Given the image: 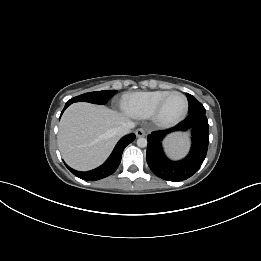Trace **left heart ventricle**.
Returning a JSON list of instances; mask_svg holds the SVG:
<instances>
[{"label":"left heart ventricle","mask_w":261,"mask_h":261,"mask_svg":"<svg viewBox=\"0 0 261 261\" xmlns=\"http://www.w3.org/2000/svg\"><path fill=\"white\" fill-rule=\"evenodd\" d=\"M184 106V99L180 95H172L165 101L161 110V116L166 120L175 119L182 113Z\"/></svg>","instance_id":"left-heart-ventricle-1"}]
</instances>
